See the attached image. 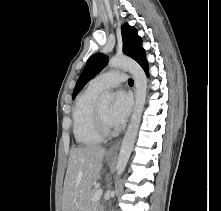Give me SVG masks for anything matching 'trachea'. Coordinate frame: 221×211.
I'll use <instances>...</instances> for the list:
<instances>
[{
	"label": "trachea",
	"mask_w": 221,
	"mask_h": 211,
	"mask_svg": "<svg viewBox=\"0 0 221 211\" xmlns=\"http://www.w3.org/2000/svg\"><path fill=\"white\" fill-rule=\"evenodd\" d=\"M133 83H134V82H133V79L130 78V79L128 80V84H129V85H133Z\"/></svg>",
	"instance_id": "trachea-1"
}]
</instances>
